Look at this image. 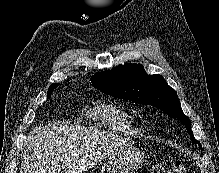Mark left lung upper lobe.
Returning a JSON list of instances; mask_svg holds the SVG:
<instances>
[{"instance_id":"1","label":"left lung upper lobe","mask_w":219,"mask_h":173,"mask_svg":"<svg viewBox=\"0 0 219 173\" xmlns=\"http://www.w3.org/2000/svg\"><path fill=\"white\" fill-rule=\"evenodd\" d=\"M94 87L117 98L140 104L152 105L168 116L179 119L186 127L191 140L194 138L191 122L181 109L177 93L160 75H148L142 65H118L112 70L98 72L91 77ZM202 149V146L199 144Z\"/></svg>"}]
</instances>
